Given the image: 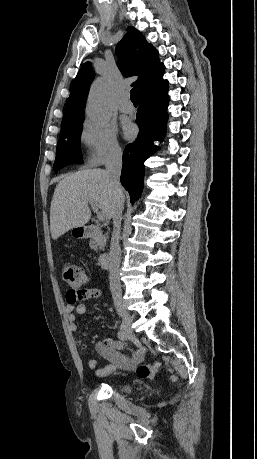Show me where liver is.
<instances>
[{
    "instance_id": "1",
    "label": "liver",
    "mask_w": 257,
    "mask_h": 459,
    "mask_svg": "<svg viewBox=\"0 0 257 459\" xmlns=\"http://www.w3.org/2000/svg\"><path fill=\"white\" fill-rule=\"evenodd\" d=\"M90 201L102 210L106 219L112 217L114 194L106 170H80L65 176L58 183L50 207V232L53 240L89 222Z\"/></svg>"
}]
</instances>
